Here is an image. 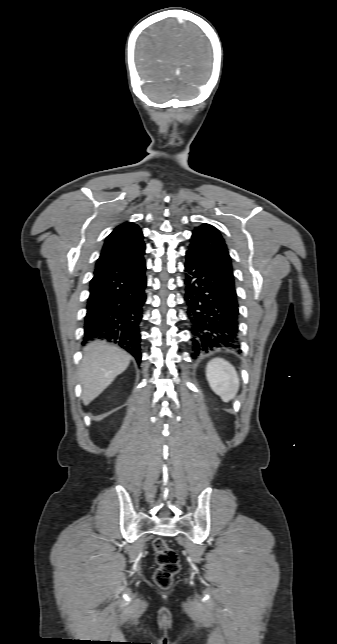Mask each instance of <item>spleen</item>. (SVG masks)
Returning <instances> with one entry per match:
<instances>
[{
    "label": "spleen",
    "mask_w": 337,
    "mask_h": 644,
    "mask_svg": "<svg viewBox=\"0 0 337 644\" xmlns=\"http://www.w3.org/2000/svg\"><path fill=\"white\" fill-rule=\"evenodd\" d=\"M206 377L211 389L225 402L232 400L239 390L240 380L233 365L222 358L208 362Z\"/></svg>",
    "instance_id": "1"
}]
</instances>
